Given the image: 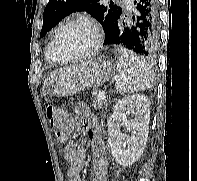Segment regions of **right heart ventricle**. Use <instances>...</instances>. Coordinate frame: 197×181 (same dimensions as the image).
Listing matches in <instances>:
<instances>
[{"label": "right heart ventricle", "instance_id": "obj_1", "mask_svg": "<svg viewBox=\"0 0 197 181\" xmlns=\"http://www.w3.org/2000/svg\"><path fill=\"white\" fill-rule=\"evenodd\" d=\"M63 23H59L53 30L51 36H50V39H49V42H48V45H47V48H46V53H45V58L46 60L51 63V64H55L57 63L58 61L56 60L54 54H53V40H54V37L57 33V31L59 30V28L61 27Z\"/></svg>", "mask_w": 197, "mask_h": 181}]
</instances>
